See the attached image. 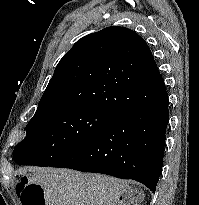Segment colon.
<instances>
[{
  "mask_svg": "<svg viewBox=\"0 0 199 205\" xmlns=\"http://www.w3.org/2000/svg\"><path fill=\"white\" fill-rule=\"evenodd\" d=\"M22 205H45L39 187L29 183L27 176H22L16 186Z\"/></svg>",
  "mask_w": 199,
  "mask_h": 205,
  "instance_id": "colon-1",
  "label": "colon"
}]
</instances>
